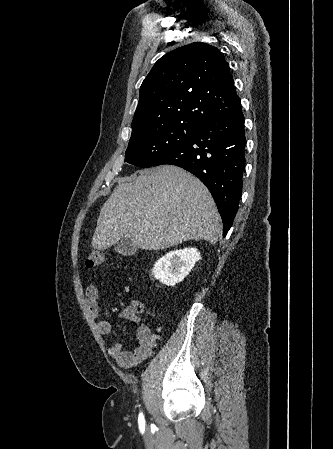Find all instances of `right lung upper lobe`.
I'll use <instances>...</instances> for the list:
<instances>
[{"mask_svg": "<svg viewBox=\"0 0 333 449\" xmlns=\"http://www.w3.org/2000/svg\"><path fill=\"white\" fill-rule=\"evenodd\" d=\"M238 102L222 53L207 43H191L165 54L144 79L131 138L169 123L202 125Z\"/></svg>", "mask_w": 333, "mask_h": 449, "instance_id": "right-lung-upper-lobe-1", "label": "right lung upper lobe"}]
</instances>
